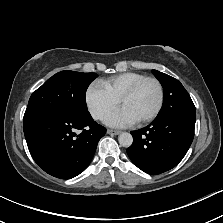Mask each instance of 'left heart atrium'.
Here are the masks:
<instances>
[{
	"instance_id": "obj_1",
	"label": "left heart atrium",
	"mask_w": 223,
	"mask_h": 223,
	"mask_svg": "<svg viewBox=\"0 0 223 223\" xmlns=\"http://www.w3.org/2000/svg\"><path fill=\"white\" fill-rule=\"evenodd\" d=\"M136 120L133 116L123 107L115 110L111 115L106 118V123L113 127H125L133 124Z\"/></svg>"
}]
</instances>
